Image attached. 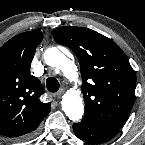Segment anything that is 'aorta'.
<instances>
[{
    "instance_id": "1",
    "label": "aorta",
    "mask_w": 145,
    "mask_h": 145,
    "mask_svg": "<svg viewBox=\"0 0 145 145\" xmlns=\"http://www.w3.org/2000/svg\"><path fill=\"white\" fill-rule=\"evenodd\" d=\"M44 61L50 67H60L64 74L70 80H76L78 73L71 61L57 48L50 47L45 50ZM62 109L67 117L76 122L79 121L84 114V105L80 93L76 90L67 91L62 97Z\"/></svg>"
}]
</instances>
